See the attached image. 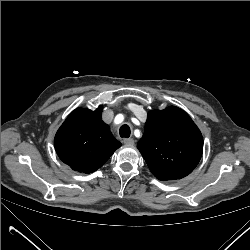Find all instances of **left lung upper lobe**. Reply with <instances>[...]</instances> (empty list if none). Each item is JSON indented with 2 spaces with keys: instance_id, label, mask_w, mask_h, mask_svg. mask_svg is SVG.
Returning a JSON list of instances; mask_svg holds the SVG:
<instances>
[{
  "instance_id": "obj_1",
  "label": "left lung upper lobe",
  "mask_w": 250,
  "mask_h": 250,
  "mask_svg": "<svg viewBox=\"0 0 250 250\" xmlns=\"http://www.w3.org/2000/svg\"><path fill=\"white\" fill-rule=\"evenodd\" d=\"M137 147L157 179L176 180L190 174L199 163L203 137L185 111L170 106L148 113Z\"/></svg>"
}]
</instances>
